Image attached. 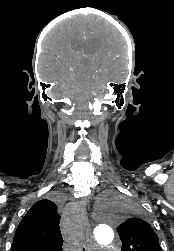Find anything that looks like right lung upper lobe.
<instances>
[{"label":"right lung upper lobe","instance_id":"obj_1","mask_svg":"<svg viewBox=\"0 0 174 251\" xmlns=\"http://www.w3.org/2000/svg\"><path fill=\"white\" fill-rule=\"evenodd\" d=\"M59 211L51 200L35 203L19 223L11 251H62Z\"/></svg>","mask_w":174,"mask_h":251}]
</instances>
